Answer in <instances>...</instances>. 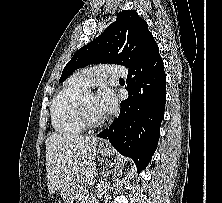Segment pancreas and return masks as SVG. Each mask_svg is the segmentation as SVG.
<instances>
[{
    "instance_id": "pancreas-1",
    "label": "pancreas",
    "mask_w": 222,
    "mask_h": 203,
    "mask_svg": "<svg viewBox=\"0 0 222 203\" xmlns=\"http://www.w3.org/2000/svg\"><path fill=\"white\" fill-rule=\"evenodd\" d=\"M95 170H91L88 173H86L80 180H79V186L80 188H83V186H86L89 184V180L94 177Z\"/></svg>"
}]
</instances>
